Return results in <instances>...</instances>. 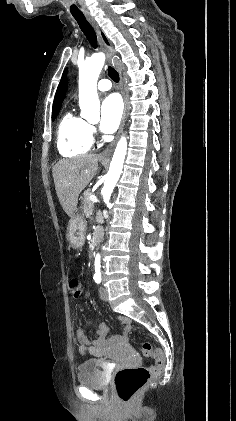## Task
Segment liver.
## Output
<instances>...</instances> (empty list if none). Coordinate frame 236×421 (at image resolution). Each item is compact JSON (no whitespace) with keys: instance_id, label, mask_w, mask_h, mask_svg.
Segmentation results:
<instances>
[{"instance_id":"6515ba94","label":"liver","mask_w":236,"mask_h":421,"mask_svg":"<svg viewBox=\"0 0 236 421\" xmlns=\"http://www.w3.org/2000/svg\"><path fill=\"white\" fill-rule=\"evenodd\" d=\"M98 168L97 154H82L76 158H62L53 166L55 190L68 217L74 215L78 196L92 180Z\"/></svg>"}]
</instances>
